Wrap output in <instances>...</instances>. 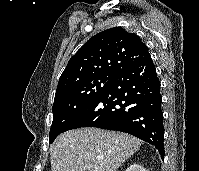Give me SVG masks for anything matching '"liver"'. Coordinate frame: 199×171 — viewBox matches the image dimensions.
I'll return each instance as SVG.
<instances>
[{"label": "liver", "instance_id": "obj_1", "mask_svg": "<svg viewBox=\"0 0 199 171\" xmlns=\"http://www.w3.org/2000/svg\"><path fill=\"white\" fill-rule=\"evenodd\" d=\"M141 145L140 139L123 132L70 130L50 147L51 171H117Z\"/></svg>", "mask_w": 199, "mask_h": 171}]
</instances>
